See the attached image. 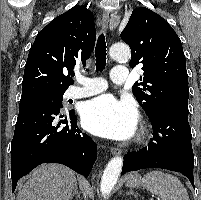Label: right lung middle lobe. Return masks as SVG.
<instances>
[{"mask_svg":"<svg viewBox=\"0 0 201 200\" xmlns=\"http://www.w3.org/2000/svg\"><path fill=\"white\" fill-rule=\"evenodd\" d=\"M64 93H40L21 96L19 109H24L36 105H52L62 107Z\"/></svg>","mask_w":201,"mask_h":200,"instance_id":"obj_1","label":"right lung middle lobe"}]
</instances>
